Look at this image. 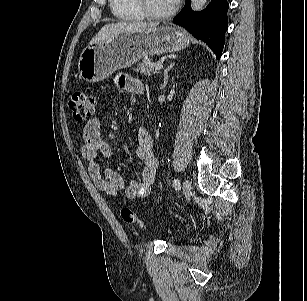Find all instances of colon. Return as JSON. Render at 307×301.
I'll list each match as a JSON object with an SVG mask.
<instances>
[{"mask_svg": "<svg viewBox=\"0 0 307 301\" xmlns=\"http://www.w3.org/2000/svg\"><path fill=\"white\" fill-rule=\"evenodd\" d=\"M69 107L77 121H86L91 118L96 109V98L87 92L76 91L69 100ZM121 218L128 225H137L145 228L144 222L130 209L121 210Z\"/></svg>", "mask_w": 307, "mask_h": 301, "instance_id": "obj_1", "label": "colon"}]
</instances>
